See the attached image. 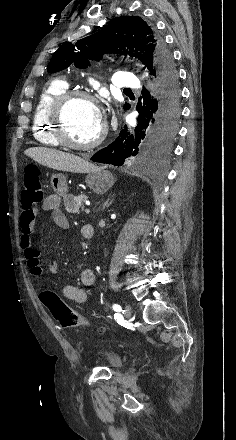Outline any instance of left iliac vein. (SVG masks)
Wrapping results in <instances>:
<instances>
[{"label":"left iliac vein","instance_id":"obj_1","mask_svg":"<svg viewBox=\"0 0 236 440\" xmlns=\"http://www.w3.org/2000/svg\"><path fill=\"white\" fill-rule=\"evenodd\" d=\"M124 313L127 319H130L132 316V308L129 304H126L124 307Z\"/></svg>","mask_w":236,"mask_h":440}]
</instances>
